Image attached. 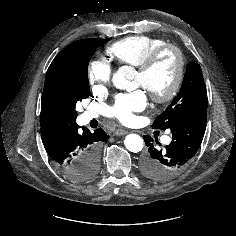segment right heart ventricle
<instances>
[{
	"mask_svg": "<svg viewBox=\"0 0 236 236\" xmlns=\"http://www.w3.org/2000/svg\"><path fill=\"white\" fill-rule=\"evenodd\" d=\"M164 44L167 42L158 37L136 35L112 43L106 52L119 64L139 66L153 50Z\"/></svg>",
	"mask_w": 236,
	"mask_h": 236,
	"instance_id": "right-heart-ventricle-1",
	"label": "right heart ventricle"
}]
</instances>
